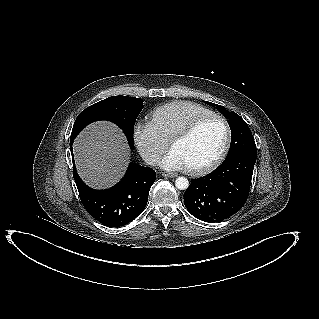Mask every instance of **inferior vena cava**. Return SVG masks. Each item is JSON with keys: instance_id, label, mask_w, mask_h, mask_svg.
Segmentation results:
<instances>
[{"instance_id": "inferior-vena-cava-1", "label": "inferior vena cava", "mask_w": 319, "mask_h": 319, "mask_svg": "<svg viewBox=\"0 0 319 319\" xmlns=\"http://www.w3.org/2000/svg\"><path fill=\"white\" fill-rule=\"evenodd\" d=\"M143 159L149 165H156L158 163V158L152 154H145Z\"/></svg>"}]
</instances>
